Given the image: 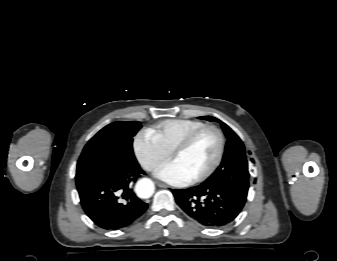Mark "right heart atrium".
Segmentation results:
<instances>
[{
	"mask_svg": "<svg viewBox=\"0 0 337 261\" xmlns=\"http://www.w3.org/2000/svg\"><path fill=\"white\" fill-rule=\"evenodd\" d=\"M134 152L143 168L150 172L170 158V153L147 130L139 132L135 137Z\"/></svg>",
	"mask_w": 337,
	"mask_h": 261,
	"instance_id": "d8ad5b80",
	"label": "right heart atrium"
}]
</instances>
